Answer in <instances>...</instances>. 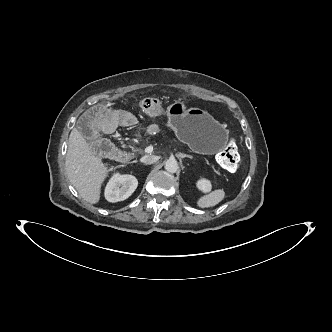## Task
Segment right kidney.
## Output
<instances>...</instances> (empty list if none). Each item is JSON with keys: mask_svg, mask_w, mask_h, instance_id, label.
Instances as JSON below:
<instances>
[{"mask_svg": "<svg viewBox=\"0 0 332 332\" xmlns=\"http://www.w3.org/2000/svg\"><path fill=\"white\" fill-rule=\"evenodd\" d=\"M138 186L133 175L115 173L105 188V198L109 202L123 201L130 197Z\"/></svg>", "mask_w": 332, "mask_h": 332, "instance_id": "right-kidney-1", "label": "right kidney"}]
</instances>
